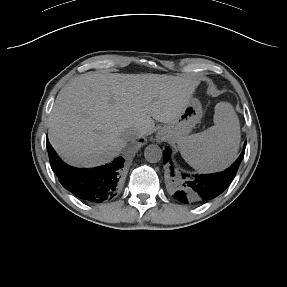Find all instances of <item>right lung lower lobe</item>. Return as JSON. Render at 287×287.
<instances>
[{
    "label": "right lung lower lobe",
    "instance_id": "right-lung-lower-lobe-1",
    "mask_svg": "<svg viewBox=\"0 0 287 287\" xmlns=\"http://www.w3.org/2000/svg\"><path fill=\"white\" fill-rule=\"evenodd\" d=\"M47 150L52 170L58 175L60 183L71 193L87 202L95 203L114 196L124 164L122 157H118L106 166L77 169L63 163L48 140Z\"/></svg>",
    "mask_w": 287,
    "mask_h": 287
}]
</instances>
